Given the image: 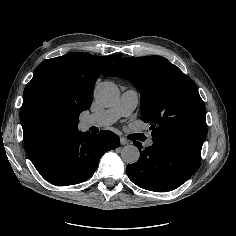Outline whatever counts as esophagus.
Returning <instances> with one entry per match:
<instances>
[{
    "instance_id": "esophagus-1",
    "label": "esophagus",
    "mask_w": 236,
    "mask_h": 236,
    "mask_svg": "<svg viewBox=\"0 0 236 236\" xmlns=\"http://www.w3.org/2000/svg\"><path fill=\"white\" fill-rule=\"evenodd\" d=\"M120 143L121 145H126L127 144V140L124 137L120 138Z\"/></svg>"
}]
</instances>
